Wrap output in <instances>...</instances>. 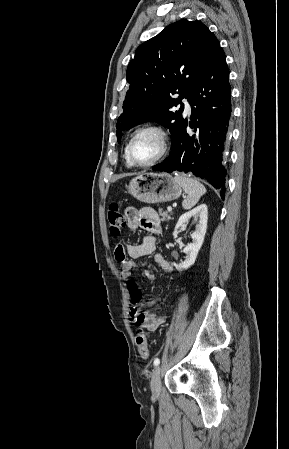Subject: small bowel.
Returning <instances> with one entry per match:
<instances>
[{
    "mask_svg": "<svg viewBox=\"0 0 289 449\" xmlns=\"http://www.w3.org/2000/svg\"><path fill=\"white\" fill-rule=\"evenodd\" d=\"M127 226L130 232H134L139 226H143L151 232L146 235L141 243L131 244L126 242L118 244L114 250V257L121 266V275L124 279H130L136 270L134 259L153 255L156 265L165 272L173 271L172 264L160 253H156L157 237L162 234V225L157 212L145 207L140 210L128 208L126 210ZM143 276L148 280H154L155 274L145 269ZM157 300H151L146 303V308L132 307L130 309V320L138 326L144 327L148 331H155L165 322V317L160 316L156 310L150 311L149 308L157 305Z\"/></svg>",
    "mask_w": 289,
    "mask_h": 449,
    "instance_id": "obj_1",
    "label": "small bowel"
}]
</instances>
